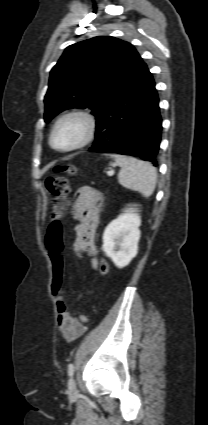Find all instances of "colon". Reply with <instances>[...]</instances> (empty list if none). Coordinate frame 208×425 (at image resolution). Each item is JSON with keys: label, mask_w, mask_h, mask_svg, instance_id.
Wrapping results in <instances>:
<instances>
[{"label": "colon", "mask_w": 208, "mask_h": 425, "mask_svg": "<svg viewBox=\"0 0 208 425\" xmlns=\"http://www.w3.org/2000/svg\"><path fill=\"white\" fill-rule=\"evenodd\" d=\"M54 173L55 175L49 176L45 182L46 189L54 202L52 220L46 236V245L52 261L51 290L53 295L57 297L63 289L64 278L63 243L61 236L62 214L67 196L70 192L69 181L65 175L74 176L77 173V169L71 164L57 165L54 168ZM72 253L79 256L81 255V252L75 247ZM99 270L101 274H106L108 272V265L104 260L100 261ZM78 321L84 324L87 322V318L85 316H80Z\"/></svg>", "instance_id": "5ec220e1"}]
</instances>
